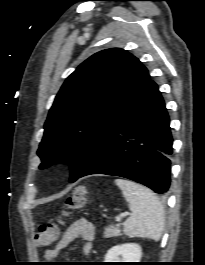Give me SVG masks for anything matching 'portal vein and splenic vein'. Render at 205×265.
<instances>
[{
  "label": "portal vein and splenic vein",
  "mask_w": 205,
  "mask_h": 265,
  "mask_svg": "<svg viewBox=\"0 0 205 265\" xmlns=\"http://www.w3.org/2000/svg\"><path fill=\"white\" fill-rule=\"evenodd\" d=\"M127 214H123L122 216H126ZM121 220V217L120 216H118V217H116V221H120Z\"/></svg>",
  "instance_id": "1"
}]
</instances>
